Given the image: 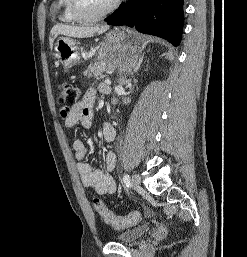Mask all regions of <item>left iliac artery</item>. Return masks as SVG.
<instances>
[{
  "label": "left iliac artery",
  "mask_w": 247,
  "mask_h": 257,
  "mask_svg": "<svg viewBox=\"0 0 247 257\" xmlns=\"http://www.w3.org/2000/svg\"><path fill=\"white\" fill-rule=\"evenodd\" d=\"M123 182L126 185V187H130L131 186V181H130V177H129L128 174H124Z\"/></svg>",
  "instance_id": "obj_1"
}]
</instances>
